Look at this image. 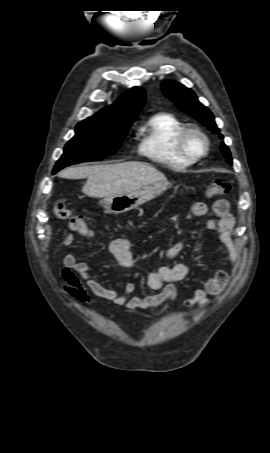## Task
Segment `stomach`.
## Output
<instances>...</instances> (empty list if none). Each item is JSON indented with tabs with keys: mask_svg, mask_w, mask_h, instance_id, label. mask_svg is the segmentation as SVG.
I'll list each match as a JSON object with an SVG mask.
<instances>
[{
	"mask_svg": "<svg viewBox=\"0 0 270 453\" xmlns=\"http://www.w3.org/2000/svg\"><path fill=\"white\" fill-rule=\"evenodd\" d=\"M169 188L166 181L156 182L128 194L106 197L101 203L105 213L121 214L161 195Z\"/></svg>",
	"mask_w": 270,
	"mask_h": 453,
	"instance_id": "0dacf381",
	"label": "stomach"
}]
</instances>
